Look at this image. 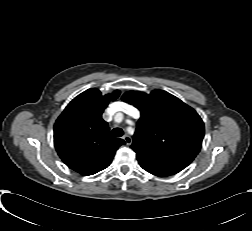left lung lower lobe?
<instances>
[{
  "label": "left lung lower lobe",
  "mask_w": 252,
  "mask_h": 231,
  "mask_svg": "<svg viewBox=\"0 0 252 231\" xmlns=\"http://www.w3.org/2000/svg\"><path fill=\"white\" fill-rule=\"evenodd\" d=\"M137 160L143 169L159 177L174 175L190 164L188 162L175 159H153L137 157Z\"/></svg>",
  "instance_id": "1"
}]
</instances>
